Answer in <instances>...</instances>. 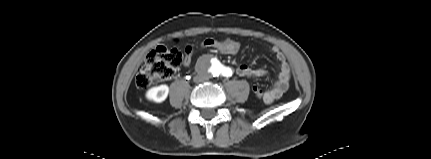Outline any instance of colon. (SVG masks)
<instances>
[{
  "instance_id": "obj_1",
  "label": "colon",
  "mask_w": 431,
  "mask_h": 159,
  "mask_svg": "<svg viewBox=\"0 0 431 159\" xmlns=\"http://www.w3.org/2000/svg\"><path fill=\"white\" fill-rule=\"evenodd\" d=\"M219 55L235 57L236 49H217ZM183 54L176 48L158 46L153 49L141 63L135 76V84L140 89L149 87L153 82L171 78L179 69ZM265 91L260 87L253 88V95L262 98Z\"/></svg>"
}]
</instances>
